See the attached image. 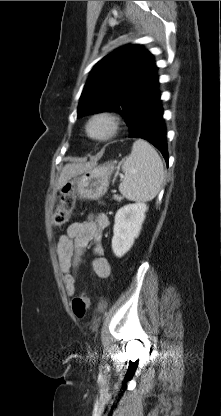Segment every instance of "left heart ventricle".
I'll list each match as a JSON object with an SVG mask.
<instances>
[{"instance_id": "b2bd125f", "label": "left heart ventricle", "mask_w": 221, "mask_h": 416, "mask_svg": "<svg viewBox=\"0 0 221 416\" xmlns=\"http://www.w3.org/2000/svg\"><path fill=\"white\" fill-rule=\"evenodd\" d=\"M103 130V125L102 124H96V125H94V127H93V131L95 132V133H99V132H101Z\"/></svg>"}]
</instances>
